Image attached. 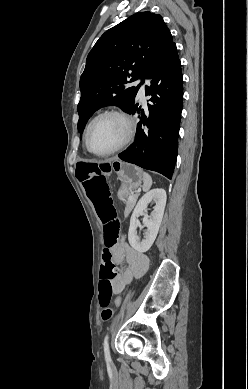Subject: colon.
<instances>
[{"mask_svg":"<svg viewBox=\"0 0 248 389\" xmlns=\"http://www.w3.org/2000/svg\"><path fill=\"white\" fill-rule=\"evenodd\" d=\"M78 175L86 195L93 203L96 213L103 224L105 250L102 255L101 276L99 284V305L101 319L110 321L114 311L111 307L113 295L112 282L117 275V267L113 262L110 248L118 241L120 222L113 205L107 174L112 171L110 161H78ZM122 298H114V309L120 310Z\"/></svg>","mask_w":248,"mask_h":389,"instance_id":"5ec220e1","label":"colon"}]
</instances>
